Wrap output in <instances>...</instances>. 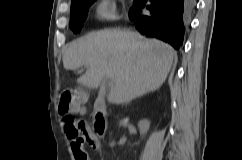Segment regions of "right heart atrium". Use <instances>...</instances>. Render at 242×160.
<instances>
[{
	"label": "right heart atrium",
	"mask_w": 242,
	"mask_h": 160,
	"mask_svg": "<svg viewBox=\"0 0 242 160\" xmlns=\"http://www.w3.org/2000/svg\"><path fill=\"white\" fill-rule=\"evenodd\" d=\"M95 16L100 20H112L117 16L114 0H97Z\"/></svg>",
	"instance_id": "1"
}]
</instances>
